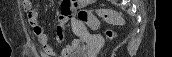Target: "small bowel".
Returning a JSON list of instances; mask_svg holds the SVG:
<instances>
[{
    "instance_id": "obj_1",
    "label": "small bowel",
    "mask_w": 172,
    "mask_h": 57,
    "mask_svg": "<svg viewBox=\"0 0 172 57\" xmlns=\"http://www.w3.org/2000/svg\"><path fill=\"white\" fill-rule=\"evenodd\" d=\"M81 2H67L62 5L61 12L58 14V24L55 31V41L60 43L64 40L66 25L71 17L69 11L73 5L80 4ZM23 7L27 12V20L32 29L34 36L37 39L40 51L44 57H69L71 54L81 51L83 44L80 39L75 38L72 42L64 46L60 52H56L50 45L48 35L45 33L44 28L39 22V12L41 10V3L33 5L31 1H24Z\"/></svg>"
}]
</instances>
